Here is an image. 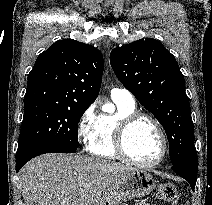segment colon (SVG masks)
<instances>
[{
    "label": "colon",
    "mask_w": 212,
    "mask_h": 205,
    "mask_svg": "<svg viewBox=\"0 0 212 205\" xmlns=\"http://www.w3.org/2000/svg\"><path fill=\"white\" fill-rule=\"evenodd\" d=\"M158 197L168 205H177L179 200L177 188L172 183L160 184Z\"/></svg>",
    "instance_id": "obj_1"
}]
</instances>
